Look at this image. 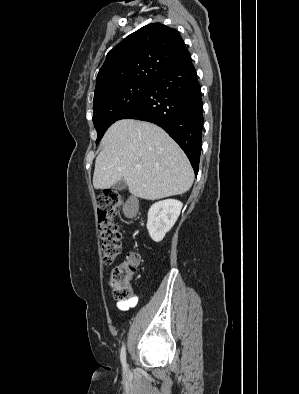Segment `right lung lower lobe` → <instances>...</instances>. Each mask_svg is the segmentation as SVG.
<instances>
[{"mask_svg": "<svg viewBox=\"0 0 299 394\" xmlns=\"http://www.w3.org/2000/svg\"><path fill=\"white\" fill-rule=\"evenodd\" d=\"M201 87L190 54L159 75L120 119L162 127L183 149L197 175L202 146Z\"/></svg>", "mask_w": 299, "mask_h": 394, "instance_id": "obj_1", "label": "right lung lower lobe"}]
</instances>
